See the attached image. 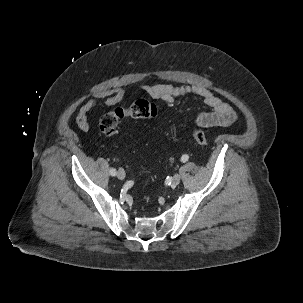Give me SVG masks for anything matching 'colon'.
Here are the masks:
<instances>
[{"label": "colon", "instance_id": "colon-1", "mask_svg": "<svg viewBox=\"0 0 303 303\" xmlns=\"http://www.w3.org/2000/svg\"><path fill=\"white\" fill-rule=\"evenodd\" d=\"M158 114L155 104L146 99H138L129 107H118L104 114L99 121L100 132L108 137L118 133L119 123L126 118L152 119ZM192 137L197 144L205 146L208 143L207 136L201 128L192 130Z\"/></svg>", "mask_w": 303, "mask_h": 303}]
</instances>
